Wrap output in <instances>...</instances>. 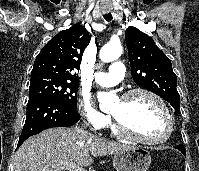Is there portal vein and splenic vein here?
I'll return each mask as SVG.
<instances>
[{
  "mask_svg": "<svg viewBox=\"0 0 199 171\" xmlns=\"http://www.w3.org/2000/svg\"><path fill=\"white\" fill-rule=\"evenodd\" d=\"M62 168H65L69 171H86V169L78 166L76 163L73 162L63 164Z\"/></svg>",
  "mask_w": 199,
  "mask_h": 171,
  "instance_id": "18ae733b",
  "label": "portal vein and splenic vein"
}]
</instances>
